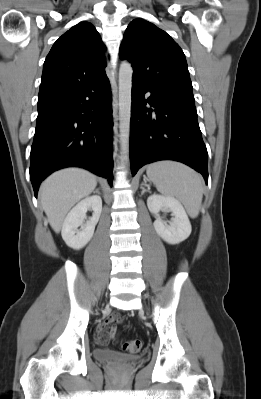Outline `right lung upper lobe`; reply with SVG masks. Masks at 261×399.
Listing matches in <instances>:
<instances>
[{"label":"right lung upper lobe","instance_id":"1","mask_svg":"<svg viewBox=\"0 0 261 399\" xmlns=\"http://www.w3.org/2000/svg\"><path fill=\"white\" fill-rule=\"evenodd\" d=\"M104 50L100 35L91 23L73 26L54 43L45 59L38 100L106 76Z\"/></svg>","mask_w":261,"mask_h":399}]
</instances>
